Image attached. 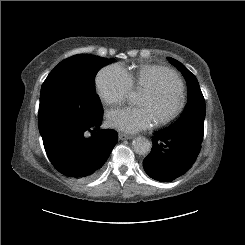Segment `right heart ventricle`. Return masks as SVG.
<instances>
[{
    "instance_id": "right-heart-ventricle-1",
    "label": "right heart ventricle",
    "mask_w": 245,
    "mask_h": 245,
    "mask_svg": "<svg viewBox=\"0 0 245 245\" xmlns=\"http://www.w3.org/2000/svg\"><path fill=\"white\" fill-rule=\"evenodd\" d=\"M165 70H167V68L160 65L145 64L137 68L135 71H127V74L131 80L132 85L135 86L138 90L144 91L148 87L156 85L160 76ZM181 88L183 89L182 81Z\"/></svg>"
}]
</instances>
